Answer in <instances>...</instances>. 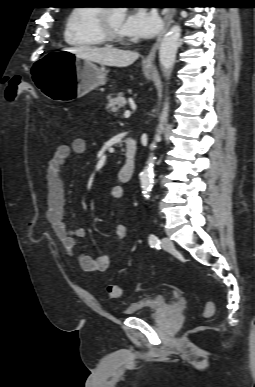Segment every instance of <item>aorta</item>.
<instances>
[{"mask_svg": "<svg viewBox=\"0 0 255 387\" xmlns=\"http://www.w3.org/2000/svg\"><path fill=\"white\" fill-rule=\"evenodd\" d=\"M180 36H181L180 26L174 25L164 35L162 42L160 44L159 61L165 76H169L174 67ZM168 111H169V102H168V98H166V102L164 103V108L160 117V124L157 129V134L155 136V142L151 145L152 150L156 147V142L160 140V134L164 129L163 125L168 116ZM155 159L156 158L154 157L153 153H151L147 161V166L140 174L141 188L143 190L142 192L144 196L147 198L149 197V194L152 189Z\"/></svg>", "mask_w": 255, "mask_h": 387, "instance_id": "aorta-1", "label": "aorta"}]
</instances>
